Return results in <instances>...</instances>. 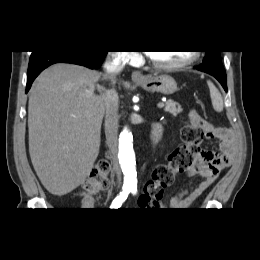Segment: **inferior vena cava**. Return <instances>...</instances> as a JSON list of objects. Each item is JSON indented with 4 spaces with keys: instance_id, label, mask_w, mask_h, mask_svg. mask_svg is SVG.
Returning a JSON list of instances; mask_svg holds the SVG:
<instances>
[{
    "instance_id": "602c4592",
    "label": "inferior vena cava",
    "mask_w": 260,
    "mask_h": 260,
    "mask_svg": "<svg viewBox=\"0 0 260 260\" xmlns=\"http://www.w3.org/2000/svg\"><path fill=\"white\" fill-rule=\"evenodd\" d=\"M127 60V56L121 51L109 52L104 63V79H109L113 84H115L116 77L125 67ZM104 91L105 92L102 95V104L108 116V119L105 122L106 144L108 146L110 154H112L113 167L117 175V180L120 183L121 171L115 157L119 128V97L114 88Z\"/></svg>"
}]
</instances>
